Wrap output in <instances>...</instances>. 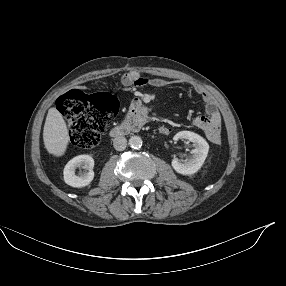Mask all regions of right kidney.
Returning <instances> with one entry per match:
<instances>
[{
    "label": "right kidney",
    "instance_id": "obj_1",
    "mask_svg": "<svg viewBox=\"0 0 286 286\" xmlns=\"http://www.w3.org/2000/svg\"><path fill=\"white\" fill-rule=\"evenodd\" d=\"M77 167H84L87 172L75 174ZM94 159L89 155H79L71 159L64 168V181L72 187H85L91 183L94 178Z\"/></svg>",
    "mask_w": 286,
    "mask_h": 286
}]
</instances>
